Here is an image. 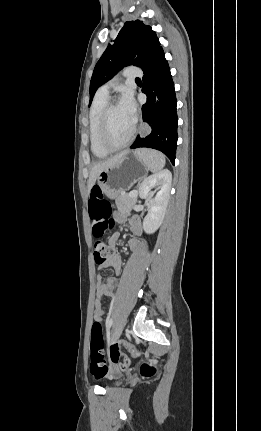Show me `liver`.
Masks as SVG:
<instances>
[{
  "instance_id": "1",
  "label": "liver",
  "mask_w": 261,
  "mask_h": 431,
  "mask_svg": "<svg viewBox=\"0 0 261 431\" xmlns=\"http://www.w3.org/2000/svg\"><path fill=\"white\" fill-rule=\"evenodd\" d=\"M127 153L128 151H123L110 159L96 163L91 169V173L88 181V192H90L91 188L94 186L100 173H102L103 171L107 170L110 167L115 166L121 160V158Z\"/></svg>"
}]
</instances>
